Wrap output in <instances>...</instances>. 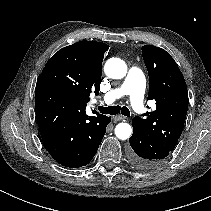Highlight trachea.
<instances>
[{
	"label": "trachea",
	"mask_w": 211,
	"mask_h": 211,
	"mask_svg": "<svg viewBox=\"0 0 211 211\" xmlns=\"http://www.w3.org/2000/svg\"><path fill=\"white\" fill-rule=\"evenodd\" d=\"M98 110L102 114H110V115H116L121 113L124 116L129 117L130 116V111L126 106H109V107H103L99 106Z\"/></svg>",
	"instance_id": "3493384b"
}]
</instances>
